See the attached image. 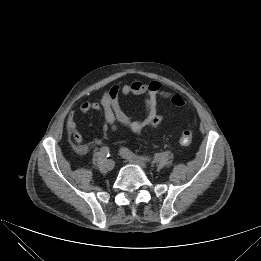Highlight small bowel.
Instances as JSON below:
<instances>
[{
  "label": "small bowel",
  "mask_w": 261,
  "mask_h": 261,
  "mask_svg": "<svg viewBox=\"0 0 261 261\" xmlns=\"http://www.w3.org/2000/svg\"><path fill=\"white\" fill-rule=\"evenodd\" d=\"M143 96L145 103V115L142 119L132 120L122 109L120 97L122 96ZM170 93L162 90L158 81L148 83L135 80L133 82L116 84L106 90L99 101H85L80 105V112L87 114L90 111H96L101 114L103 121V133L108 130L117 131L123 127L132 134H139L145 128L157 127L162 117L158 113L157 102L159 97L168 98ZM68 134L74 144L75 150L79 154H86L88 146L83 143V136L78 130V125L74 118V112H71L66 120ZM100 143V141H98Z\"/></svg>",
  "instance_id": "1"
}]
</instances>
